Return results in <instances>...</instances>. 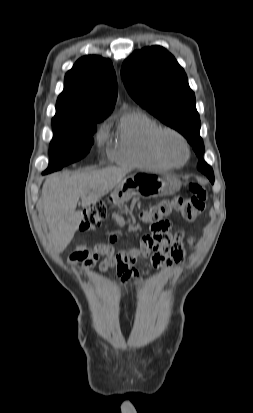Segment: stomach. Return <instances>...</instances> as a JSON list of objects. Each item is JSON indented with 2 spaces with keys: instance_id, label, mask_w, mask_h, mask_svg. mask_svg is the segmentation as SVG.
<instances>
[{
  "instance_id": "0dacf381",
  "label": "stomach",
  "mask_w": 253,
  "mask_h": 413,
  "mask_svg": "<svg viewBox=\"0 0 253 413\" xmlns=\"http://www.w3.org/2000/svg\"><path fill=\"white\" fill-rule=\"evenodd\" d=\"M181 182L174 176H156L137 172L125 178L109 196L115 204H123L134 196L153 198L173 195L180 190Z\"/></svg>"
}]
</instances>
